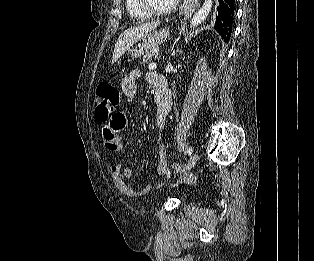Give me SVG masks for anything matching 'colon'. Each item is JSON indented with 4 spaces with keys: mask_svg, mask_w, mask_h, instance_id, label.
Returning <instances> with one entry per match:
<instances>
[{
    "mask_svg": "<svg viewBox=\"0 0 314 261\" xmlns=\"http://www.w3.org/2000/svg\"><path fill=\"white\" fill-rule=\"evenodd\" d=\"M120 100V92L114 85L106 82L101 83L96 90L97 106L95 110V116L97 120L101 123H104V121L108 120V117L111 116V113H117ZM124 128L125 127H123V129ZM171 170L175 174H180L183 171V166L179 163H172Z\"/></svg>",
    "mask_w": 314,
    "mask_h": 261,
    "instance_id": "1",
    "label": "colon"
}]
</instances>
